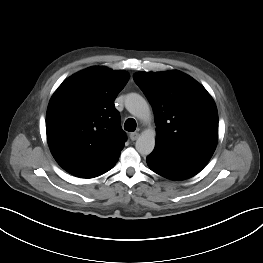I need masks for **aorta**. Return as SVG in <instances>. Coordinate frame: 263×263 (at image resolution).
<instances>
[{
    "label": "aorta",
    "mask_w": 263,
    "mask_h": 263,
    "mask_svg": "<svg viewBox=\"0 0 263 263\" xmlns=\"http://www.w3.org/2000/svg\"><path fill=\"white\" fill-rule=\"evenodd\" d=\"M125 107L133 116L141 120H149L151 113L146 100L137 93L126 96ZM156 133L154 130H145L138 137L135 147L141 155H149L155 147Z\"/></svg>",
    "instance_id": "762f6f07"
}]
</instances>
